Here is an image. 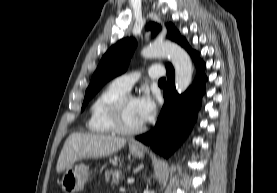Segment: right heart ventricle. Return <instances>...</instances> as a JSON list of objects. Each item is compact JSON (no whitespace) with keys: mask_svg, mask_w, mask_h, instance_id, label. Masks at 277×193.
Returning <instances> with one entry per match:
<instances>
[{"mask_svg":"<svg viewBox=\"0 0 277 193\" xmlns=\"http://www.w3.org/2000/svg\"><path fill=\"white\" fill-rule=\"evenodd\" d=\"M125 93L112 82L96 96L90 105L86 122V127L90 132L100 135L114 133L109 121V108L115 100Z\"/></svg>","mask_w":277,"mask_h":193,"instance_id":"1","label":"right heart ventricle"}]
</instances>
